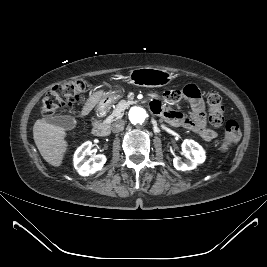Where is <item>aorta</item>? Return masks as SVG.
Listing matches in <instances>:
<instances>
[{
    "label": "aorta",
    "instance_id": "obj_1",
    "mask_svg": "<svg viewBox=\"0 0 267 267\" xmlns=\"http://www.w3.org/2000/svg\"><path fill=\"white\" fill-rule=\"evenodd\" d=\"M129 120L134 125H140L147 120L148 114L142 107H132L129 111Z\"/></svg>",
    "mask_w": 267,
    "mask_h": 267
}]
</instances>
